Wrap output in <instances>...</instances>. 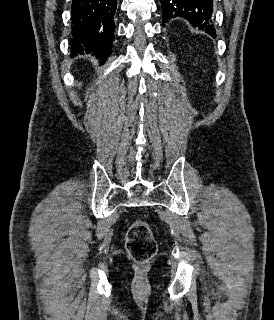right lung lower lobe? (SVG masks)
I'll list each match as a JSON object with an SVG mask.
<instances>
[{"mask_svg":"<svg viewBox=\"0 0 274 320\" xmlns=\"http://www.w3.org/2000/svg\"><path fill=\"white\" fill-rule=\"evenodd\" d=\"M117 0H73L72 54L94 52L101 60L111 54L114 34V14Z\"/></svg>","mask_w":274,"mask_h":320,"instance_id":"98d812e1","label":"right lung lower lobe"}]
</instances>
